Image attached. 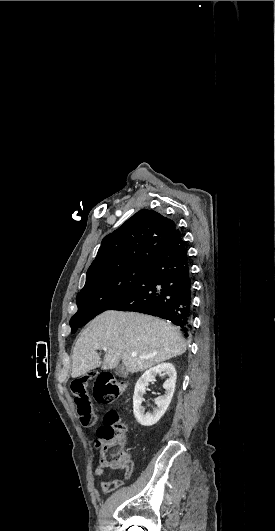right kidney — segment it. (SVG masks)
<instances>
[{"instance_id":"obj_1","label":"right kidney","mask_w":275,"mask_h":531,"mask_svg":"<svg viewBox=\"0 0 275 531\" xmlns=\"http://www.w3.org/2000/svg\"><path fill=\"white\" fill-rule=\"evenodd\" d=\"M158 373H164V375L169 377V379L163 383L165 395L155 399L157 409H155L153 413H144V407H141V403L143 401L145 389L148 387L151 381H155V377L158 375ZM176 375L177 373L172 363H161V365H157V367H152V369L145 371L142 377L138 379L133 395V413L137 423H140V425H143V427H152V425H155V423H157V421L163 417L174 395L177 379Z\"/></svg>"}]
</instances>
